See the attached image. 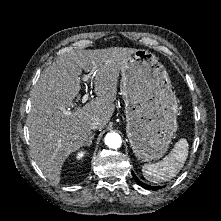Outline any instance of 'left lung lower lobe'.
<instances>
[{
  "mask_svg": "<svg viewBox=\"0 0 221 221\" xmlns=\"http://www.w3.org/2000/svg\"><path fill=\"white\" fill-rule=\"evenodd\" d=\"M132 175H133L134 179L136 180V182H137L140 186H142L143 188H145V189L158 190L159 188H161V187H159V186H156V187H155V186H150V185L144 184L143 182H141V181L135 176L134 173H132Z\"/></svg>",
  "mask_w": 221,
  "mask_h": 221,
  "instance_id": "left-lung-lower-lobe-1",
  "label": "left lung lower lobe"
}]
</instances>
